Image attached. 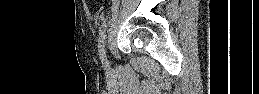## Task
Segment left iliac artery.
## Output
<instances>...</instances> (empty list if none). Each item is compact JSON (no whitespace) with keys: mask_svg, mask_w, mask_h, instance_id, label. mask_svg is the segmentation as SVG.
<instances>
[{"mask_svg":"<svg viewBox=\"0 0 259 94\" xmlns=\"http://www.w3.org/2000/svg\"><path fill=\"white\" fill-rule=\"evenodd\" d=\"M105 30H106V23L105 21L102 22L99 30V37H98V48H99V55L102 60V63L105 66H108V61L105 54Z\"/></svg>","mask_w":259,"mask_h":94,"instance_id":"obj_1","label":"left iliac artery"}]
</instances>
